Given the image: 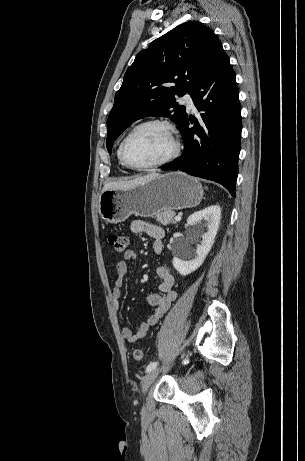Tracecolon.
<instances>
[{
	"instance_id": "colon-1",
	"label": "colon",
	"mask_w": 305,
	"mask_h": 461,
	"mask_svg": "<svg viewBox=\"0 0 305 461\" xmlns=\"http://www.w3.org/2000/svg\"><path fill=\"white\" fill-rule=\"evenodd\" d=\"M108 242H109V245L112 247V249L118 254H121L126 250L127 237L123 234H117V233L109 234ZM132 355H133L134 360L136 361H142L144 359V352L143 350L139 348L133 349Z\"/></svg>"
}]
</instances>
